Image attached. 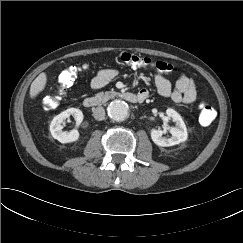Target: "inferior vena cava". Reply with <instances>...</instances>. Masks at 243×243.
Masks as SVG:
<instances>
[{
    "label": "inferior vena cava",
    "instance_id": "1",
    "mask_svg": "<svg viewBox=\"0 0 243 243\" xmlns=\"http://www.w3.org/2000/svg\"><path fill=\"white\" fill-rule=\"evenodd\" d=\"M93 115L96 120L101 121L105 118V110L103 107H97L94 109Z\"/></svg>",
    "mask_w": 243,
    "mask_h": 243
}]
</instances>
